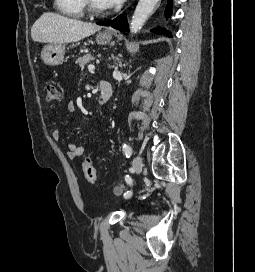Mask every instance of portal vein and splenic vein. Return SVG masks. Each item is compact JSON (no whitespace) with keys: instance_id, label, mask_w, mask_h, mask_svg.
Here are the masks:
<instances>
[{"instance_id":"obj_1","label":"portal vein and splenic vein","mask_w":255,"mask_h":272,"mask_svg":"<svg viewBox=\"0 0 255 272\" xmlns=\"http://www.w3.org/2000/svg\"><path fill=\"white\" fill-rule=\"evenodd\" d=\"M95 69V66L94 65H88V70L89 71H93Z\"/></svg>"}]
</instances>
